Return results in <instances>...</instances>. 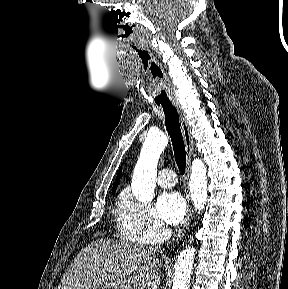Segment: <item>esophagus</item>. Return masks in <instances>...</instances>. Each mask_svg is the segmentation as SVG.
I'll return each mask as SVG.
<instances>
[{
	"label": "esophagus",
	"instance_id": "esophagus-1",
	"mask_svg": "<svg viewBox=\"0 0 288 289\" xmlns=\"http://www.w3.org/2000/svg\"><path fill=\"white\" fill-rule=\"evenodd\" d=\"M173 105L177 109V112L179 114V119H180V125H181V130L183 134V139L185 143V149H186V154H187V165H186V174H185V180H186V203H187V211H186V216L184 218V221L180 227V229L177 232V235L175 237V240H179L183 235L185 234L190 222H191V216H192V208L190 204V198L187 190V184H188V179H189V174H190V166H191V161L194 156V142L193 138L191 136V130L188 125L186 115L184 113V110L182 108V105L178 101H173Z\"/></svg>",
	"mask_w": 288,
	"mask_h": 289
}]
</instances>
